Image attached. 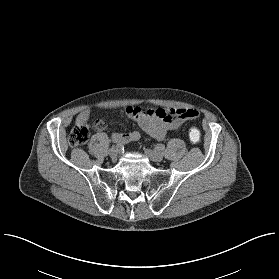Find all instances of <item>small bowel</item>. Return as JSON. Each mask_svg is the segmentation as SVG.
<instances>
[{
	"instance_id": "c3829d8e",
	"label": "small bowel",
	"mask_w": 279,
	"mask_h": 279,
	"mask_svg": "<svg viewBox=\"0 0 279 279\" xmlns=\"http://www.w3.org/2000/svg\"><path fill=\"white\" fill-rule=\"evenodd\" d=\"M125 113L134 119L145 133L158 140L163 139L171 131L179 130L187 120L198 116L195 110L176 108L143 110L138 107H127ZM89 116V109L82 110L75 119V125H87ZM105 127L106 124L103 120H97L94 123V128L98 131L104 130ZM139 138L140 132L138 131L112 134V140L120 144H128Z\"/></svg>"
}]
</instances>
